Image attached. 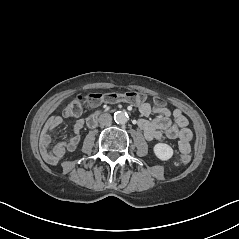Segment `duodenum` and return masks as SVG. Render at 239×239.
Wrapping results in <instances>:
<instances>
[{"instance_id":"1","label":"duodenum","mask_w":239,"mask_h":239,"mask_svg":"<svg viewBox=\"0 0 239 239\" xmlns=\"http://www.w3.org/2000/svg\"><path fill=\"white\" fill-rule=\"evenodd\" d=\"M100 115H101L100 111H97V112L93 113L92 115H90L87 119L88 127H90V128L94 127L96 125L97 120Z\"/></svg>"}]
</instances>
